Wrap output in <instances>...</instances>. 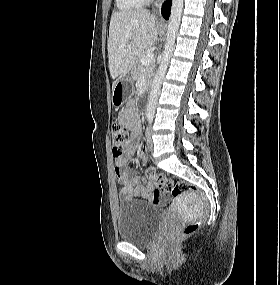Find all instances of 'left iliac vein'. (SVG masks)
<instances>
[{
	"instance_id": "left-iliac-vein-1",
	"label": "left iliac vein",
	"mask_w": 280,
	"mask_h": 285,
	"mask_svg": "<svg viewBox=\"0 0 280 285\" xmlns=\"http://www.w3.org/2000/svg\"><path fill=\"white\" fill-rule=\"evenodd\" d=\"M146 141H147L148 148L150 150H152L153 149V140H152V130L150 127L147 129V132H146Z\"/></svg>"
}]
</instances>
